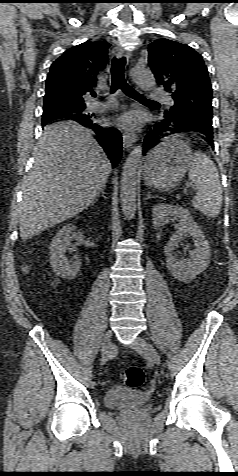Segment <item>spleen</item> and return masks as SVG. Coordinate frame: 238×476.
I'll return each mask as SVG.
<instances>
[{
	"label": "spleen",
	"mask_w": 238,
	"mask_h": 476,
	"mask_svg": "<svg viewBox=\"0 0 238 476\" xmlns=\"http://www.w3.org/2000/svg\"><path fill=\"white\" fill-rule=\"evenodd\" d=\"M188 176L198 190L194 207L208 217H216L221 210L222 188L213 161L202 152H194Z\"/></svg>",
	"instance_id": "obj_1"
}]
</instances>
